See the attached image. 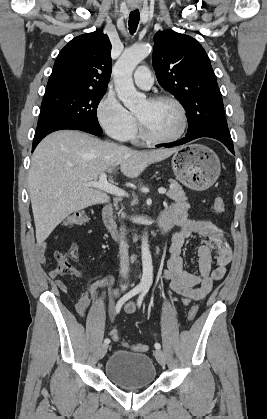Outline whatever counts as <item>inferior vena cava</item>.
Returning <instances> with one entry per match:
<instances>
[{
	"mask_svg": "<svg viewBox=\"0 0 267 419\" xmlns=\"http://www.w3.org/2000/svg\"><path fill=\"white\" fill-rule=\"evenodd\" d=\"M125 228H120V245H119V255H120V275L124 278L127 277L129 272V256H128V244L125 238ZM127 285L122 286L125 289Z\"/></svg>",
	"mask_w": 267,
	"mask_h": 419,
	"instance_id": "inferior-vena-cava-1",
	"label": "inferior vena cava"
}]
</instances>
